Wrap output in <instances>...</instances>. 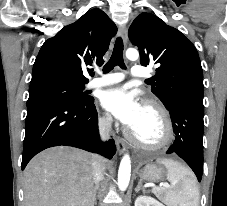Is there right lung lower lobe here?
<instances>
[{
	"label": "right lung lower lobe",
	"mask_w": 227,
	"mask_h": 206,
	"mask_svg": "<svg viewBox=\"0 0 227 206\" xmlns=\"http://www.w3.org/2000/svg\"><path fill=\"white\" fill-rule=\"evenodd\" d=\"M94 99L84 103L41 101L28 106L22 170L40 151L53 146H73L112 158L114 140L100 141Z\"/></svg>",
	"instance_id": "right-lung-lower-lobe-1"
}]
</instances>
